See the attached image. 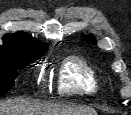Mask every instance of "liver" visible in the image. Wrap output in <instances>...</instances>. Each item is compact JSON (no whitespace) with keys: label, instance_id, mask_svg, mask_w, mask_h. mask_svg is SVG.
Instances as JSON below:
<instances>
[{"label":"liver","instance_id":"liver-1","mask_svg":"<svg viewBox=\"0 0 131 115\" xmlns=\"http://www.w3.org/2000/svg\"><path fill=\"white\" fill-rule=\"evenodd\" d=\"M0 115H97L90 107L42 104L26 99L0 102Z\"/></svg>","mask_w":131,"mask_h":115}]
</instances>
